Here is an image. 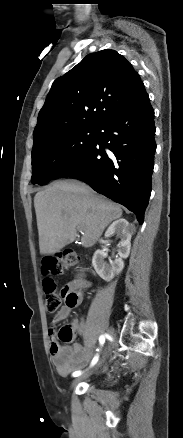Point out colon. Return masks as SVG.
Here are the masks:
<instances>
[{
  "instance_id": "obj_1",
  "label": "colon",
  "mask_w": 183,
  "mask_h": 438,
  "mask_svg": "<svg viewBox=\"0 0 183 438\" xmlns=\"http://www.w3.org/2000/svg\"><path fill=\"white\" fill-rule=\"evenodd\" d=\"M79 260L77 253L71 249H66L60 253L45 258L42 261V271L47 276H54L63 273L67 268L74 266ZM43 290L45 293V308L49 313L56 312L61 305V298L66 304L75 305L79 301L76 291L66 286L61 295L56 292V283L51 277L43 280ZM74 329L71 324L60 328L58 336L63 342H71L74 338Z\"/></svg>"
}]
</instances>
